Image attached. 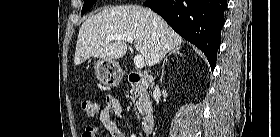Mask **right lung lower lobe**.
<instances>
[{
    "instance_id": "1",
    "label": "right lung lower lobe",
    "mask_w": 280,
    "mask_h": 137,
    "mask_svg": "<svg viewBox=\"0 0 280 137\" xmlns=\"http://www.w3.org/2000/svg\"><path fill=\"white\" fill-rule=\"evenodd\" d=\"M144 5L204 52L214 69L227 0H147Z\"/></svg>"
}]
</instances>
